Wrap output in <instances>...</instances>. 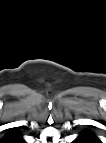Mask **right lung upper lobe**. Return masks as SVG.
<instances>
[{"label":"right lung upper lobe","instance_id":"cb5924a9","mask_svg":"<svg viewBox=\"0 0 106 143\" xmlns=\"http://www.w3.org/2000/svg\"><path fill=\"white\" fill-rule=\"evenodd\" d=\"M22 140V136L16 129H12V131L5 135L2 142L3 143H18Z\"/></svg>","mask_w":106,"mask_h":143}]
</instances>
